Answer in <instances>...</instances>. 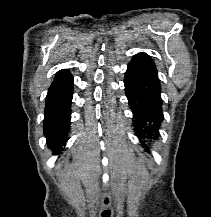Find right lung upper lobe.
<instances>
[{"label": "right lung upper lobe", "instance_id": "1", "mask_svg": "<svg viewBox=\"0 0 211 217\" xmlns=\"http://www.w3.org/2000/svg\"><path fill=\"white\" fill-rule=\"evenodd\" d=\"M70 76V72L67 69H63L57 73L54 82L62 81Z\"/></svg>", "mask_w": 211, "mask_h": 217}]
</instances>
